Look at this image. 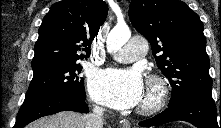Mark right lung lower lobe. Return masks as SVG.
<instances>
[{
	"mask_svg": "<svg viewBox=\"0 0 221 128\" xmlns=\"http://www.w3.org/2000/svg\"><path fill=\"white\" fill-rule=\"evenodd\" d=\"M86 96H79L66 90L50 91L26 98L18 112L14 128H23L28 123L60 111L88 113Z\"/></svg>",
	"mask_w": 221,
	"mask_h": 128,
	"instance_id": "right-lung-lower-lobe-1",
	"label": "right lung lower lobe"
}]
</instances>
